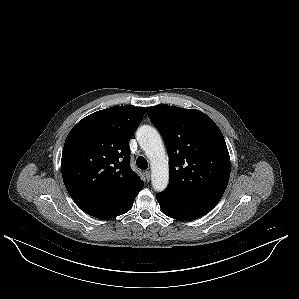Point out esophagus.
<instances>
[{
  "instance_id": "obj_1",
  "label": "esophagus",
  "mask_w": 299,
  "mask_h": 299,
  "mask_svg": "<svg viewBox=\"0 0 299 299\" xmlns=\"http://www.w3.org/2000/svg\"><path fill=\"white\" fill-rule=\"evenodd\" d=\"M144 175H145L146 180L149 181L150 178H151V173H150V171H148V170L145 171V172H144Z\"/></svg>"
}]
</instances>
